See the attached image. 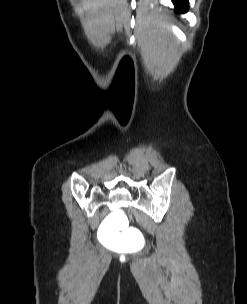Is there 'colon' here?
<instances>
[{"mask_svg":"<svg viewBox=\"0 0 247 304\" xmlns=\"http://www.w3.org/2000/svg\"><path fill=\"white\" fill-rule=\"evenodd\" d=\"M134 219V214H126L125 210L106 214L105 220L100 221L96 240H101L102 248H109L111 253H138L147 239L142 237L140 225H131Z\"/></svg>","mask_w":247,"mask_h":304,"instance_id":"5ec220e1","label":"colon"}]
</instances>
